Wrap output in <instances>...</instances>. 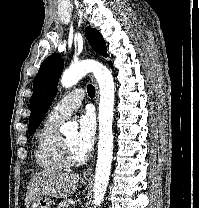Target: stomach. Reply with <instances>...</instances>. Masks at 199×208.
Wrapping results in <instances>:
<instances>
[{
  "instance_id": "obj_1",
  "label": "stomach",
  "mask_w": 199,
  "mask_h": 208,
  "mask_svg": "<svg viewBox=\"0 0 199 208\" xmlns=\"http://www.w3.org/2000/svg\"><path fill=\"white\" fill-rule=\"evenodd\" d=\"M82 183L84 185H88V181L82 180ZM52 205V200L48 196H42L39 197L38 199L34 200L29 208H51Z\"/></svg>"
}]
</instances>
